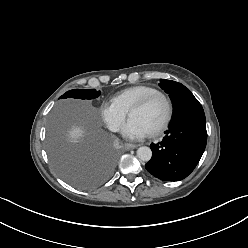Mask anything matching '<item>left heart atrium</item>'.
Here are the masks:
<instances>
[{
    "mask_svg": "<svg viewBox=\"0 0 248 248\" xmlns=\"http://www.w3.org/2000/svg\"><path fill=\"white\" fill-rule=\"evenodd\" d=\"M146 128L134 119H129L122 129V134L128 139H141L147 135Z\"/></svg>",
    "mask_w": 248,
    "mask_h": 248,
    "instance_id": "39dd6f15",
    "label": "left heart atrium"
}]
</instances>
